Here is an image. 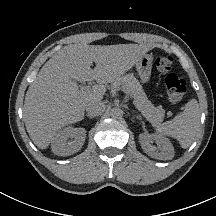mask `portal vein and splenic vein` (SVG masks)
Wrapping results in <instances>:
<instances>
[{
  "instance_id": "portal-vein-and-splenic-vein-1",
  "label": "portal vein and splenic vein",
  "mask_w": 216,
  "mask_h": 216,
  "mask_svg": "<svg viewBox=\"0 0 216 216\" xmlns=\"http://www.w3.org/2000/svg\"><path fill=\"white\" fill-rule=\"evenodd\" d=\"M91 89H92V88H91L90 86H82V87L80 88V91H81V92H89ZM121 89H122V91H123L124 93H126L127 95H129L131 98H134V97H133V94L131 93V91L128 90L127 87L123 86ZM136 107H137V106H136Z\"/></svg>"
}]
</instances>
